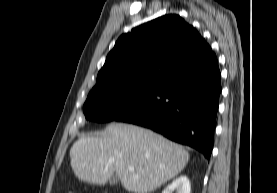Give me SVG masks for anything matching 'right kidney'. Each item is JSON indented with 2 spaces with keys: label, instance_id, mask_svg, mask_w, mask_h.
Masks as SVG:
<instances>
[{
  "label": "right kidney",
  "instance_id": "obj_1",
  "mask_svg": "<svg viewBox=\"0 0 277 193\" xmlns=\"http://www.w3.org/2000/svg\"><path fill=\"white\" fill-rule=\"evenodd\" d=\"M190 193L191 185L190 181L186 176H180L174 180L162 193Z\"/></svg>",
  "mask_w": 277,
  "mask_h": 193
}]
</instances>
